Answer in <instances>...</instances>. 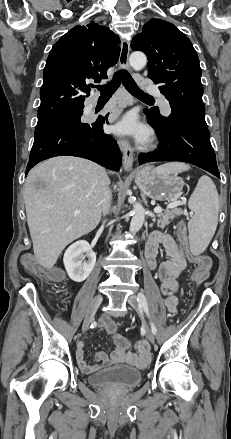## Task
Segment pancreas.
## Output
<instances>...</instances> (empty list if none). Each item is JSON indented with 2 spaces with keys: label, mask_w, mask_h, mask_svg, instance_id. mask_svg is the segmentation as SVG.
<instances>
[{
  "label": "pancreas",
  "mask_w": 231,
  "mask_h": 439,
  "mask_svg": "<svg viewBox=\"0 0 231 439\" xmlns=\"http://www.w3.org/2000/svg\"><path fill=\"white\" fill-rule=\"evenodd\" d=\"M182 214L180 209H173L171 211H167L165 213L157 214V227L164 228L166 225H169L170 222L176 217Z\"/></svg>",
  "instance_id": "1"
}]
</instances>
